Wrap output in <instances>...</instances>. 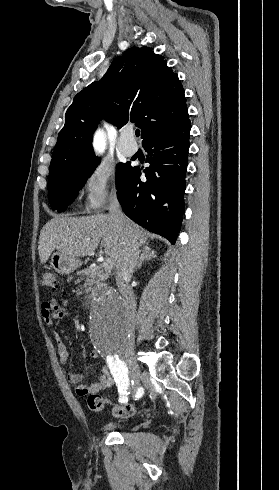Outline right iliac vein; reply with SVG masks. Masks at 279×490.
I'll return each mask as SVG.
<instances>
[{
    "instance_id": "right-iliac-vein-1",
    "label": "right iliac vein",
    "mask_w": 279,
    "mask_h": 490,
    "mask_svg": "<svg viewBox=\"0 0 279 490\" xmlns=\"http://www.w3.org/2000/svg\"><path fill=\"white\" fill-rule=\"evenodd\" d=\"M120 358L126 362V364L128 365L129 367V370H130V373L133 374L134 376L138 375L139 372H140V367L138 365V363L136 362V360L134 359V357H132V354L131 352H129V354L125 355V356H120Z\"/></svg>"
}]
</instances>
